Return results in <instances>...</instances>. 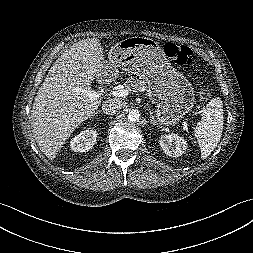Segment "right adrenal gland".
<instances>
[{
    "label": "right adrenal gland",
    "mask_w": 253,
    "mask_h": 253,
    "mask_svg": "<svg viewBox=\"0 0 253 253\" xmlns=\"http://www.w3.org/2000/svg\"><path fill=\"white\" fill-rule=\"evenodd\" d=\"M102 111L101 110H98L94 113V117L97 116L98 114H100Z\"/></svg>",
    "instance_id": "right-adrenal-gland-1"
}]
</instances>
